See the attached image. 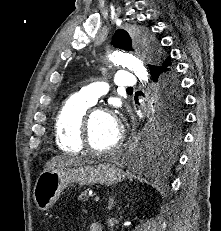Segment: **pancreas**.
<instances>
[{"mask_svg": "<svg viewBox=\"0 0 221 231\" xmlns=\"http://www.w3.org/2000/svg\"><path fill=\"white\" fill-rule=\"evenodd\" d=\"M79 200L86 201L88 199V189L81 192Z\"/></svg>", "mask_w": 221, "mask_h": 231, "instance_id": "pancreas-1", "label": "pancreas"}]
</instances>
